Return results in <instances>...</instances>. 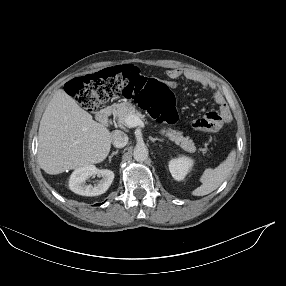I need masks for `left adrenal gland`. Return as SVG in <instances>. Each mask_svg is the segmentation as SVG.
Instances as JSON below:
<instances>
[{"mask_svg":"<svg viewBox=\"0 0 286 286\" xmlns=\"http://www.w3.org/2000/svg\"><path fill=\"white\" fill-rule=\"evenodd\" d=\"M149 139H150L152 142H155V141H157V140L163 141L162 138H157V137H156V138H153L152 136H150Z\"/></svg>","mask_w":286,"mask_h":286,"instance_id":"a2214340","label":"left adrenal gland"}]
</instances>
